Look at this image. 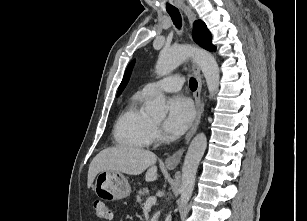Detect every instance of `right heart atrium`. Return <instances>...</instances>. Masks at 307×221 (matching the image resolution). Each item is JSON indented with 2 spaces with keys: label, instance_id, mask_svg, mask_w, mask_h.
Here are the masks:
<instances>
[{
  "label": "right heart atrium",
  "instance_id": "1",
  "mask_svg": "<svg viewBox=\"0 0 307 221\" xmlns=\"http://www.w3.org/2000/svg\"><path fill=\"white\" fill-rule=\"evenodd\" d=\"M154 136H155V137H159V136H160V130H159L158 127H155V128H154Z\"/></svg>",
  "mask_w": 307,
  "mask_h": 221
}]
</instances>
